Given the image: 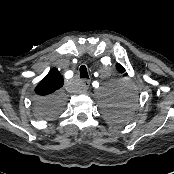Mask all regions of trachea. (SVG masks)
<instances>
[{"label": "trachea", "instance_id": "3493384b", "mask_svg": "<svg viewBox=\"0 0 174 174\" xmlns=\"http://www.w3.org/2000/svg\"><path fill=\"white\" fill-rule=\"evenodd\" d=\"M80 78H87V79H89L87 68H86L85 65H82L80 67Z\"/></svg>", "mask_w": 174, "mask_h": 174}]
</instances>
